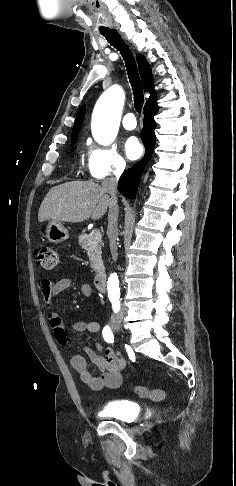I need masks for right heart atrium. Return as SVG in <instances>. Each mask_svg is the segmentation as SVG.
I'll use <instances>...</instances> for the list:
<instances>
[{
  "instance_id": "obj_1",
  "label": "right heart atrium",
  "mask_w": 236,
  "mask_h": 486,
  "mask_svg": "<svg viewBox=\"0 0 236 486\" xmlns=\"http://www.w3.org/2000/svg\"><path fill=\"white\" fill-rule=\"evenodd\" d=\"M88 145L87 171L92 179L102 180L120 175L124 171L126 161L115 147L99 146L90 142Z\"/></svg>"
}]
</instances>
